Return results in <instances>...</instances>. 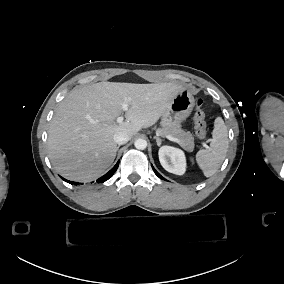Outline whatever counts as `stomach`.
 <instances>
[{
    "instance_id": "0dacf381",
    "label": "stomach",
    "mask_w": 284,
    "mask_h": 284,
    "mask_svg": "<svg viewBox=\"0 0 284 284\" xmlns=\"http://www.w3.org/2000/svg\"><path fill=\"white\" fill-rule=\"evenodd\" d=\"M194 106V97L188 89L180 91L170 102L162 117L163 127H168L169 122L179 123L185 120Z\"/></svg>"
}]
</instances>
